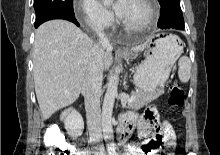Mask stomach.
<instances>
[{"label":"stomach","mask_w":220,"mask_h":155,"mask_svg":"<svg viewBox=\"0 0 220 155\" xmlns=\"http://www.w3.org/2000/svg\"><path fill=\"white\" fill-rule=\"evenodd\" d=\"M181 40L176 35H161L147 44L146 59L134 74L135 86L145 94L157 93L163 89L171 69L182 53ZM130 58V54L124 55Z\"/></svg>","instance_id":"1"}]
</instances>
